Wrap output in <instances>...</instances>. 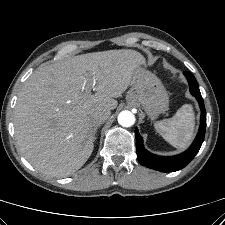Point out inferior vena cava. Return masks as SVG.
<instances>
[{
  "label": "inferior vena cava",
  "mask_w": 225,
  "mask_h": 225,
  "mask_svg": "<svg viewBox=\"0 0 225 225\" xmlns=\"http://www.w3.org/2000/svg\"><path fill=\"white\" fill-rule=\"evenodd\" d=\"M111 115L109 109L104 107H98L92 110L91 120L94 125L101 124L106 121Z\"/></svg>",
  "instance_id": "1"
}]
</instances>
